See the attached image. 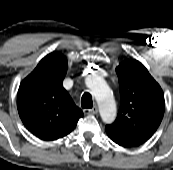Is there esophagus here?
Listing matches in <instances>:
<instances>
[{"label": "esophagus", "mask_w": 173, "mask_h": 170, "mask_svg": "<svg viewBox=\"0 0 173 170\" xmlns=\"http://www.w3.org/2000/svg\"><path fill=\"white\" fill-rule=\"evenodd\" d=\"M83 112L84 114H96L98 112V107L94 106L91 109H84Z\"/></svg>", "instance_id": "obj_1"}]
</instances>
